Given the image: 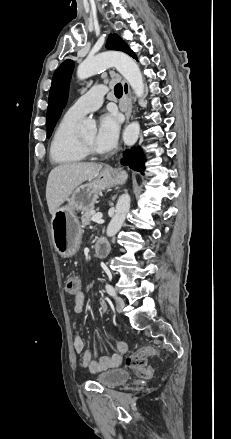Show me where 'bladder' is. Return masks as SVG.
<instances>
[{"mask_svg": "<svg viewBox=\"0 0 231 439\" xmlns=\"http://www.w3.org/2000/svg\"><path fill=\"white\" fill-rule=\"evenodd\" d=\"M130 379V373L124 369H110L97 375L96 381L104 387H116Z\"/></svg>", "mask_w": 231, "mask_h": 439, "instance_id": "31cf9c89", "label": "bladder"}]
</instances>
